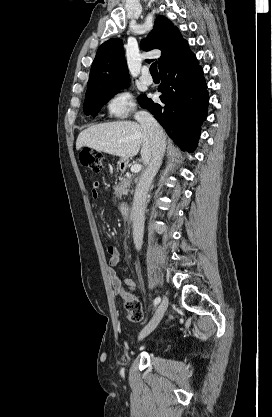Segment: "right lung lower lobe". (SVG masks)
Segmentation results:
<instances>
[{"mask_svg":"<svg viewBox=\"0 0 272 417\" xmlns=\"http://www.w3.org/2000/svg\"><path fill=\"white\" fill-rule=\"evenodd\" d=\"M159 71L161 103L146 97L141 106L154 115L175 143L192 152L209 103L203 69L186 43Z\"/></svg>","mask_w":272,"mask_h":417,"instance_id":"obj_1","label":"right lung lower lobe"}]
</instances>
